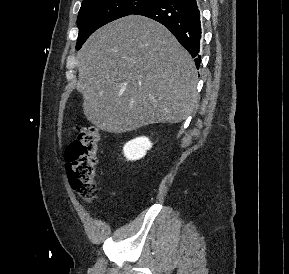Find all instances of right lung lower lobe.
Listing matches in <instances>:
<instances>
[{
  "label": "right lung lower lobe",
  "mask_w": 289,
  "mask_h": 274,
  "mask_svg": "<svg viewBox=\"0 0 289 274\" xmlns=\"http://www.w3.org/2000/svg\"><path fill=\"white\" fill-rule=\"evenodd\" d=\"M166 26L181 45L195 58L199 68L201 24L197 0H158L135 12Z\"/></svg>",
  "instance_id": "98d812e1"
}]
</instances>
